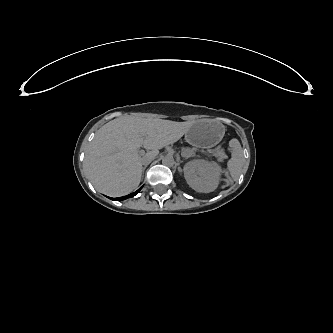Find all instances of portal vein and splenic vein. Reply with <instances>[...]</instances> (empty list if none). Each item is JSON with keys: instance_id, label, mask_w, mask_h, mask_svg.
<instances>
[{"instance_id": "portal-vein-and-splenic-vein-1", "label": "portal vein and splenic vein", "mask_w": 333, "mask_h": 333, "mask_svg": "<svg viewBox=\"0 0 333 333\" xmlns=\"http://www.w3.org/2000/svg\"><path fill=\"white\" fill-rule=\"evenodd\" d=\"M140 155L143 156L145 154L144 150L139 151Z\"/></svg>"}]
</instances>
